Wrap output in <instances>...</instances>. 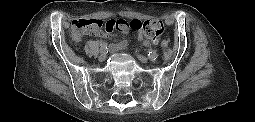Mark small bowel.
I'll use <instances>...</instances> for the list:
<instances>
[{"mask_svg":"<svg viewBox=\"0 0 255 122\" xmlns=\"http://www.w3.org/2000/svg\"><path fill=\"white\" fill-rule=\"evenodd\" d=\"M120 31L122 32H126L127 29L126 28H123V29H119ZM91 32L92 34L98 36V37H102V38H108L109 35H110V32L111 31H89ZM139 39L140 40H144V45H148L151 41L153 43H157L158 42V38H150V37H147L142 31L139 32ZM127 47V43L125 41H120V42H117V43H114L111 45V49L115 52H118V51H122L124 50L125 48Z\"/></svg>","mask_w":255,"mask_h":122,"instance_id":"small-bowel-1","label":"small bowel"}]
</instances>
